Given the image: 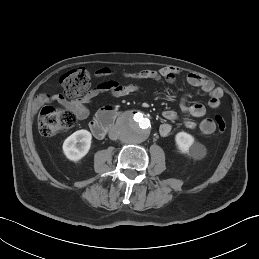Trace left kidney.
I'll list each match as a JSON object with an SVG mask.
<instances>
[{
    "mask_svg": "<svg viewBox=\"0 0 259 259\" xmlns=\"http://www.w3.org/2000/svg\"><path fill=\"white\" fill-rule=\"evenodd\" d=\"M175 142L179 151L184 154H190L191 151L201 148V145L195 144L194 137L186 132L177 133Z\"/></svg>",
    "mask_w": 259,
    "mask_h": 259,
    "instance_id": "1",
    "label": "left kidney"
}]
</instances>
